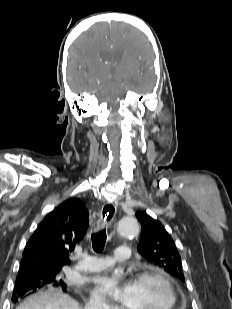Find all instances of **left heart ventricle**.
Here are the masks:
<instances>
[{"instance_id": "left-heart-ventricle-1", "label": "left heart ventricle", "mask_w": 232, "mask_h": 309, "mask_svg": "<svg viewBox=\"0 0 232 309\" xmlns=\"http://www.w3.org/2000/svg\"><path fill=\"white\" fill-rule=\"evenodd\" d=\"M169 301L165 285L148 278L131 284L127 309H165Z\"/></svg>"}]
</instances>
